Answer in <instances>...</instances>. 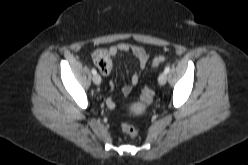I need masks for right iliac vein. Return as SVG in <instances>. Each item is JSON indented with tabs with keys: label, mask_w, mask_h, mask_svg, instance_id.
<instances>
[{
	"label": "right iliac vein",
	"mask_w": 248,
	"mask_h": 165,
	"mask_svg": "<svg viewBox=\"0 0 248 165\" xmlns=\"http://www.w3.org/2000/svg\"><path fill=\"white\" fill-rule=\"evenodd\" d=\"M93 82H94V84H96V85H99V84L101 83V77H100L99 74H95V75L93 76Z\"/></svg>",
	"instance_id": "obj_1"
}]
</instances>
